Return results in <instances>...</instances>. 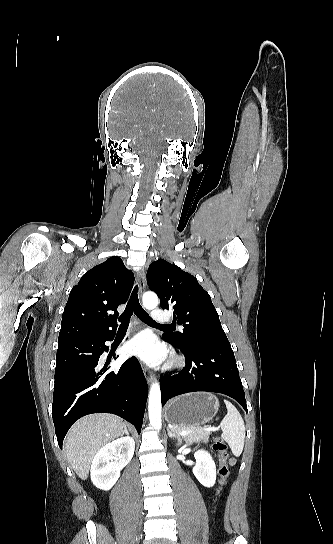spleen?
<instances>
[{"label":"spleen","instance_id":"3e777b00","mask_svg":"<svg viewBox=\"0 0 333 544\" xmlns=\"http://www.w3.org/2000/svg\"><path fill=\"white\" fill-rule=\"evenodd\" d=\"M227 414L220 423L223 430L221 437L228 443L233 454L239 456L245 442V425L237 408L229 401L224 400Z\"/></svg>","mask_w":333,"mask_h":544}]
</instances>
